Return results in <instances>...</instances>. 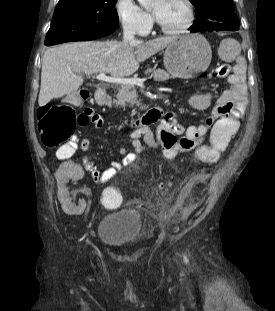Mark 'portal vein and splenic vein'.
Listing matches in <instances>:
<instances>
[{
	"label": "portal vein and splenic vein",
	"instance_id": "obj_1",
	"mask_svg": "<svg viewBox=\"0 0 275 311\" xmlns=\"http://www.w3.org/2000/svg\"><path fill=\"white\" fill-rule=\"evenodd\" d=\"M96 79L99 81H104L107 83H113L117 85H138L140 87H144L143 79H137V78H125V77H109L105 73H100L96 76Z\"/></svg>",
	"mask_w": 275,
	"mask_h": 311
}]
</instances>
